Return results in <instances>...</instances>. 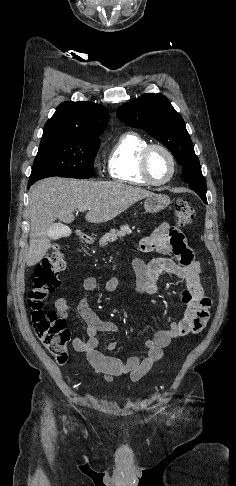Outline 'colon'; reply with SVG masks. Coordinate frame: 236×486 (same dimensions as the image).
Returning <instances> with one entry per match:
<instances>
[{"instance_id":"obj_1","label":"colon","mask_w":236,"mask_h":486,"mask_svg":"<svg viewBox=\"0 0 236 486\" xmlns=\"http://www.w3.org/2000/svg\"><path fill=\"white\" fill-rule=\"evenodd\" d=\"M174 216L180 226H188L193 222L195 213L186 200L180 199L175 203ZM64 269V256L59 247L54 246L36 266L27 298L32 310L34 331L59 363L67 361L70 331L66 320L60 318L55 311H44L43 306L47 297L60 286L59 274Z\"/></svg>"}]
</instances>
